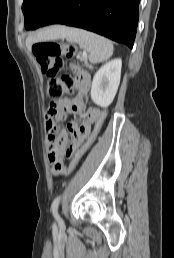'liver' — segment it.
I'll use <instances>...</instances> for the list:
<instances>
[{
	"mask_svg": "<svg viewBox=\"0 0 174 258\" xmlns=\"http://www.w3.org/2000/svg\"><path fill=\"white\" fill-rule=\"evenodd\" d=\"M64 27L55 26L51 28H47L44 31L37 33L34 37L27 39V44L30 45L33 42L41 41V40H50L62 37V32Z\"/></svg>",
	"mask_w": 174,
	"mask_h": 258,
	"instance_id": "6515ba94",
	"label": "liver"
}]
</instances>
